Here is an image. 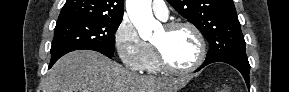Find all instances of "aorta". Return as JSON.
Listing matches in <instances>:
<instances>
[{
  "instance_id": "aorta-1",
  "label": "aorta",
  "mask_w": 289,
  "mask_h": 92,
  "mask_svg": "<svg viewBox=\"0 0 289 92\" xmlns=\"http://www.w3.org/2000/svg\"><path fill=\"white\" fill-rule=\"evenodd\" d=\"M126 9L142 39H149L152 31L160 26V23L153 17L151 0H127Z\"/></svg>"
}]
</instances>
